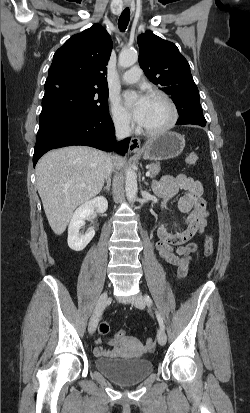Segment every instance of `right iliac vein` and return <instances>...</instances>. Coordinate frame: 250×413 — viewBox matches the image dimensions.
I'll return each instance as SVG.
<instances>
[{
  "label": "right iliac vein",
  "instance_id": "63e3f726",
  "mask_svg": "<svg viewBox=\"0 0 250 413\" xmlns=\"http://www.w3.org/2000/svg\"><path fill=\"white\" fill-rule=\"evenodd\" d=\"M108 301H109L108 293L104 292L100 296V298L97 302V305L95 307V310H94V312L91 316V319L89 321L88 331H89L90 334H93L95 332L97 324L100 320V317H101Z\"/></svg>",
  "mask_w": 250,
  "mask_h": 413
}]
</instances>
